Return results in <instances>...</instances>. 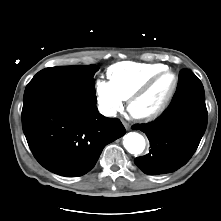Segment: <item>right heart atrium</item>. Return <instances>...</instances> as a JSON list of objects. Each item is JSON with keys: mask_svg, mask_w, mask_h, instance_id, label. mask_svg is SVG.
<instances>
[{"mask_svg": "<svg viewBox=\"0 0 221 221\" xmlns=\"http://www.w3.org/2000/svg\"><path fill=\"white\" fill-rule=\"evenodd\" d=\"M95 93L99 111L108 118L115 117L123 106V99L110 82L98 79L95 83Z\"/></svg>", "mask_w": 221, "mask_h": 221, "instance_id": "obj_1", "label": "right heart atrium"}]
</instances>
